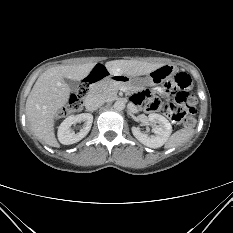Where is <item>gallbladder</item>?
Returning <instances> with one entry per match:
<instances>
[{
  "label": "gallbladder",
  "mask_w": 233,
  "mask_h": 233,
  "mask_svg": "<svg viewBox=\"0 0 233 233\" xmlns=\"http://www.w3.org/2000/svg\"><path fill=\"white\" fill-rule=\"evenodd\" d=\"M65 82L69 86L72 92H75L79 89V82L75 80L65 79Z\"/></svg>",
  "instance_id": "1"
}]
</instances>
